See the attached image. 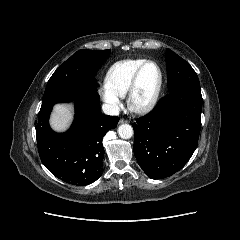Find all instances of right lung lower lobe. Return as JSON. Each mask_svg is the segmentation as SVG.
I'll list each match as a JSON object with an SVG mask.
<instances>
[{"mask_svg": "<svg viewBox=\"0 0 240 240\" xmlns=\"http://www.w3.org/2000/svg\"><path fill=\"white\" fill-rule=\"evenodd\" d=\"M75 102V120L65 133L54 132L48 123L56 103ZM97 94L56 96L42 102L36 139L42 163L58 178L73 185H88L102 172V140L117 126V116L101 113Z\"/></svg>", "mask_w": 240, "mask_h": 240, "instance_id": "obj_1", "label": "right lung lower lobe"}]
</instances>
